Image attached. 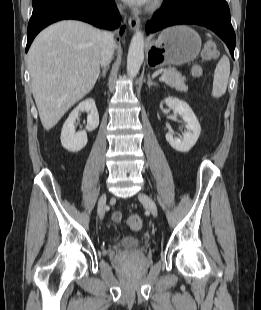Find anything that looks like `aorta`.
I'll list each match as a JSON object with an SVG mask.
<instances>
[{
  "label": "aorta",
  "instance_id": "762f6f07",
  "mask_svg": "<svg viewBox=\"0 0 261 310\" xmlns=\"http://www.w3.org/2000/svg\"><path fill=\"white\" fill-rule=\"evenodd\" d=\"M144 60V34L137 30L133 35L127 56V74L134 78L139 73Z\"/></svg>",
  "mask_w": 261,
  "mask_h": 310
}]
</instances>
